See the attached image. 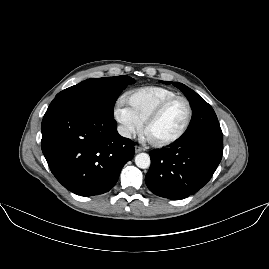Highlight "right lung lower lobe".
Masks as SVG:
<instances>
[{"label":"right lung lower lobe","instance_id":"98d812e1","mask_svg":"<svg viewBox=\"0 0 269 269\" xmlns=\"http://www.w3.org/2000/svg\"><path fill=\"white\" fill-rule=\"evenodd\" d=\"M41 130L51 172L77 195L108 192L134 156V142L118 134L113 116L87 105L52 102Z\"/></svg>","mask_w":269,"mask_h":269}]
</instances>
